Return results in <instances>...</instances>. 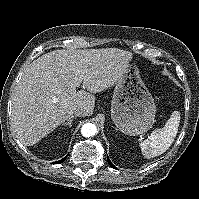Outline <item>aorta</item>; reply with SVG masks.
Instances as JSON below:
<instances>
[{"label": "aorta", "mask_w": 199, "mask_h": 199, "mask_svg": "<svg viewBox=\"0 0 199 199\" xmlns=\"http://www.w3.org/2000/svg\"><path fill=\"white\" fill-rule=\"evenodd\" d=\"M81 133L84 137H92L97 133V128L92 123H86L82 126Z\"/></svg>", "instance_id": "1"}]
</instances>
